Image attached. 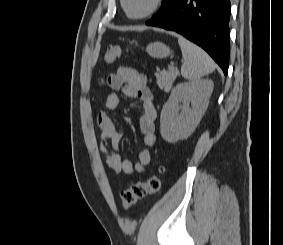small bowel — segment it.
Instances as JSON below:
<instances>
[{
  "label": "small bowel",
  "mask_w": 283,
  "mask_h": 245,
  "mask_svg": "<svg viewBox=\"0 0 283 245\" xmlns=\"http://www.w3.org/2000/svg\"><path fill=\"white\" fill-rule=\"evenodd\" d=\"M112 90L106 99V106L110 112L117 109L120 99L115 91L131 99H137L141 104L139 128L144 135V146L139 150L138 161L132 163L119 154V147L123 132L119 130L108 112H100L97 123L101 130L99 150L104 157L106 166L115 174L143 173L151 162V147L156 140L157 111L153 102V94L147 85L144 74L131 67H119L116 72L109 74L103 83Z\"/></svg>",
  "instance_id": "obj_1"
}]
</instances>
